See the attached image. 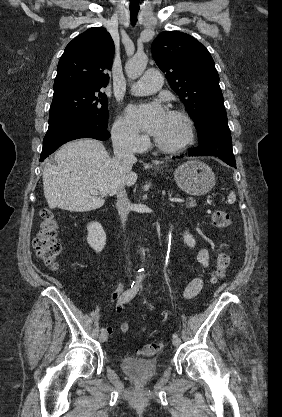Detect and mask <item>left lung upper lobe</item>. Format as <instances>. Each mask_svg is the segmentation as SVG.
I'll list each match as a JSON object with an SVG mask.
<instances>
[{
	"mask_svg": "<svg viewBox=\"0 0 282 417\" xmlns=\"http://www.w3.org/2000/svg\"><path fill=\"white\" fill-rule=\"evenodd\" d=\"M151 50L196 127L206 115L225 111L219 76L204 45L188 34L165 31L153 41Z\"/></svg>",
	"mask_w": 282,
	"mask_h": 417,
	"instance_id": "obj_1",
	"label": "left lung upper lobe"
}]
</instances>
